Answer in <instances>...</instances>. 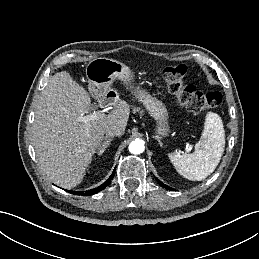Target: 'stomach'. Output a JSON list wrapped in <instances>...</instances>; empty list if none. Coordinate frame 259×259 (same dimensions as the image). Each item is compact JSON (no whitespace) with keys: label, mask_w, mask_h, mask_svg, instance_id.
I'll list each match as a JSON object with an SVG mask.
<instances>
[{"label":"stomach","mask_w":259,"mask_h":259,"mask_svg":"<svg viewBox=\"0 0 259 259\" xmlns=\"http://www.w3.org/2000/svg\"><path fill=\"white\" fill-rule=\"evenodd\" d=\"M86 77L89 91L93 94L107 91L115 80H120L154 119L156 139L169 135V113L165 104L147 90L134 85V73L130 67L114 59L95 58L86 66Z\"/></svg>","instance_id":"1"}]
</instances>
